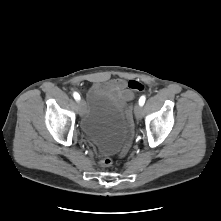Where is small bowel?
Segmentation results:
<instances>
[{"mask_svg": "<svg viewBox=\"0 0 221 221\" xmlns=\"http://www.w3.org/2000/svg\"><path fill=\"white\" fill-rule=\"evenodd\" d=\"M106 85L122 103H126L132 99V94L126 90V82L123 79H112Z\"/></svg>", "mask_w": 221, "mask_h": 221, "instance_id": "small-bowel-1", "label": "small bowel"}]
</instances>
